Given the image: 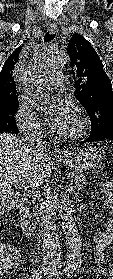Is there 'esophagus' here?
<instances>
[{
  "instance_id": "esophagus-1",
  "label": "esophagus",
  "mask_w": 113,
  "mask_h": 279,
  "mask_svg": "<svg viewBox=\"0 0 113 279\" xmlns=\"http://www.w3.org/2000/svg\"><path fill=\"white\" fill-rule=\"evenodd\" d=\"M48 31L53 34L57 31V25L56 24H50L49 27H48ZM59 154L61 155H67V151L63 150V151H60Z\"/></svg>"
}]
</instances>
